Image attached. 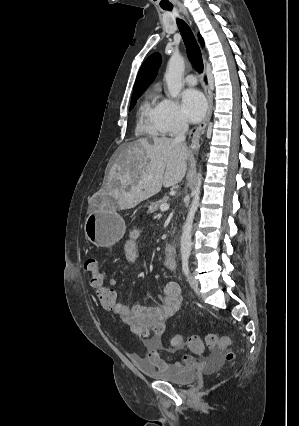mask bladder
<instances>
[{"instance_id":"bladder-1","label":"bladder","mask_w":299,"mask_h":426,"mask_svg":"<svg viewBox=\"0 0 299 426\" xmlns=\"http://www.w3.org/2000/svg\"><path fill=\"white\" fill-rule=\"evenodd\" d=\"M141 371L149 378L165 381L177 386H188L196 379V371L191 367L166 366L159 368L142 361L135 360Z\"/></svg>"}]
</instances>
